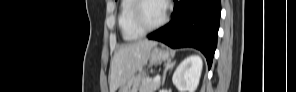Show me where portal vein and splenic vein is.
<instances>
[{
  "instance_id": "18ae733b",
  "label": "portal vein and splenic vein",
  "mask_w": 296,
  "mask_h": 92,
  "mask_svg": "<svg viewBox=\"0 0 296 92\" xmlns=\"http://www.w3.org/2000/svg\"><path fill=\"white\" fill-rule=\"evenodd\" d=\"M160 80H161V76H156V77L154 78V82H160Z\"/></svg>"
}]
</instances>
